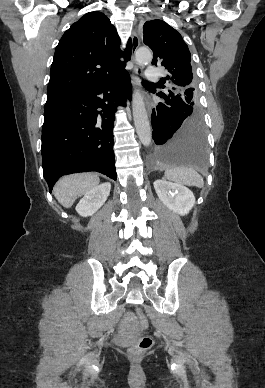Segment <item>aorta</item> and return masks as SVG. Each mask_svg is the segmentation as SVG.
Listing matches in <instances>:
<instances>
[{
  "label": "aorta",
  "mask_w": 265,
  "mask_h": 388,
  "mask_svg": "<svg viewBox=\"0 0 265 388\" xmlns=\"http://www.w3.org/2000/svg\"><path fill=\"white\" fill-rule=\"evenodd\" d=\"M152 57L151 51L147 48H139L135 54L136 63L139 65L150 63ZM132 111L139 140L144 146L148 147L151 143V128L142 95L138 90L133 93Z\"/></svg>",
  "instance_id": "obj_1"
}]
</instances>
